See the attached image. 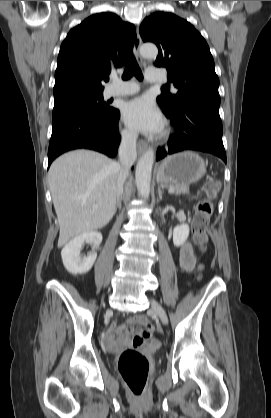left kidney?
<instances>
[{"mask_svg": "<svg viewBox=\"0 0 271 418\" xmlns=\"http://www.w3.org/2000/svg\"><path fill=\"white\" fill-rule=\"evenodd\" d=\"M189 236V226L185 223L177 225L173 230V243L175 246L182 245Z\"/></svg>", "mask_w": 271, "mask_h": 418, "instance_id": "obj_1", "label": "left kidney"}]
</instances>
